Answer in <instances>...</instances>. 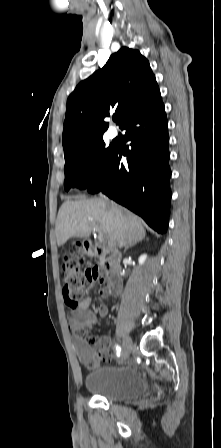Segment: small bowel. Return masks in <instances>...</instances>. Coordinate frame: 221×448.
<instances>
[{"label": "small bowel", "mask_w": 221, "mask_h": 448, "mask_svg": "<svg viewBox=\"0 0 221 448\" xmlns=\"http://www.w3.org/2000/svg\"><path fill=\"white\" fill-rule=\"evenodd\" d=\"M99 294L103 297L108 296V292L104 286L100 287ZM91 302L92 297L86 295L77 307L70 308L69 315V327L73 334V345L80 361L84 364H89L95 361L96 356L102 357L105 361L111 359V354L106 347L100 348L99 351L95 353L92 347L83 338L85 331L97 324V315L106 317L109 313V308L105 304H100L97 307V314L94 313L89 308Z\"/></svg>", "instance_id": "obj_1"}]
</instances>
